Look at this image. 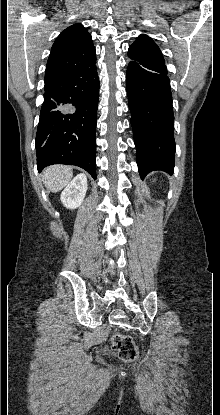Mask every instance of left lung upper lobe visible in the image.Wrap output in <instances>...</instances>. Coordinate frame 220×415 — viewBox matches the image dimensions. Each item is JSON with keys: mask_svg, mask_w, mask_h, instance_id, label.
Wrapping results in <instances>:
<instances>
[{"mask_svg": "<svg viewBox=\"0 0 220 415\" xmlns=\"http://www.w3.org/2000/svg\"><path fill=\"white\" fill-rule=\"evenodd\" d=\"M128 56L130 59L135 60L164 63V58L159 47L146 35H140L129 47Z\"/></svg>", "mask_w": 220, "mask_h": 415, "instance_id": "left-lung-upper-lobe-1", "label": "left lung upper lobe"}]
</instances>
